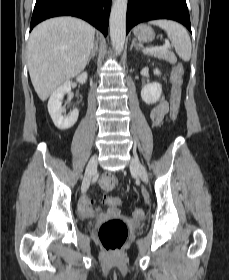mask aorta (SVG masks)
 I'll return each mask as SVG.
<instances>
[{
	"instance_id": "aorta-1",
	"label": "aorta",
	"mask_w": 229,
	"mask_h": 280,
	"mask_svg": "<svg viewBox=\"0 0 229 280\" xmlns=\"http://www.w3.org/2000/svg\"><path fill=\"white\" fill-rule=\"evenodd\" d=\"M127 0H115L110 14V38L113 49L120 54L126 36Z\"/></svg>"
}]
</instances>
